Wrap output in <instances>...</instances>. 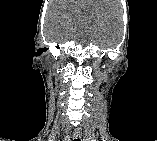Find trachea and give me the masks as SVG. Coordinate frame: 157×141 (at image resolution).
<instances>
[{
    "instance_id": "1",
    "label": "trachea",
    "mask_w": 157,
    "mask_h": 141,
    "mask_svg": "<svg viewBox=\"0 0 157 141\" xmlns=\"http://www.w3.org/2000/svg\"><path fill=\"white\" fill-rule=\"evenodd\" d=\"M74 141H80V139H79V138H77V139H74Z\"/></svg>"
}]
</instances>
